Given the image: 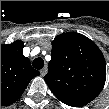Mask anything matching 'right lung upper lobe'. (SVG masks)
I'll return each instance as SVG.
<instances>
[{"mask_svg": "<svg viewBox=\"0 0 109 109\" xmlns=\"http://www.w3.org/2000/svg\"><path fill=\"white\" fill-rule=\"evenodd\" d=\"M23 41L1 45V106L15 102L40 72L23 55Z\"/></svg>", "mask_w": 109, "mask_h": 109, "instance_id": "obj_1", "label": "right lung upper lobe"}]
</instances>
